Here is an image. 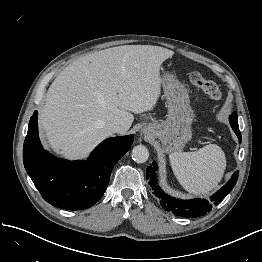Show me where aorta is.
Returning <instances> with one entry per match:
<instances>
[{
    "instance_id": "1",
    "label": "aorta",
    "mask_w": 262,
    "mask_h": 262,
    "mask_svg": "<svg viewBox=\"0 0 262 262\" xmlns=\"http://www.w3.org/2000/svg\"><path fill=\"white\" fill-rule=\"evenodd\" d=\"M149 158L148 149L143 145H137L132 150V159L136 163H145Z\"/></svg>"
}]
</instances>
